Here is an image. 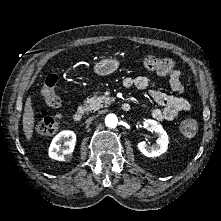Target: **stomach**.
<instances>
[{
    "instance_id": "stomach-1",
    "label": "stomach",
    "mask_w": 221,
    "mask_h": 221,
    "mask_svg": "<svg viewBox=\"0 0 221 221\" xmlns=\"http://www.w3.org/2000/svg\"><path fill=\"white\" fill-rule=\"evenodd\" d=\"M119 67V61L116 58L103 59L96 63L94 71L100 76H106L115 72Z\"/></svg>"
}]
</instances>
